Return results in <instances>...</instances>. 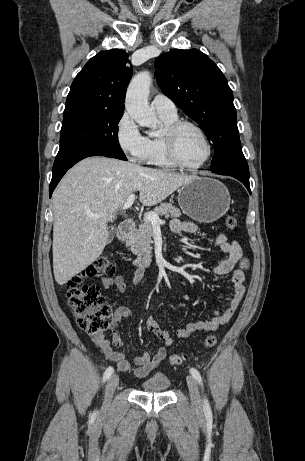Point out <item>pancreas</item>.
<instances>
[{
    "label": "pancreas",
    "mask_w": 305,
    "mask_h": 461,
    "mask_svg": "<svg viewBox=\"0 0 305 461\" xmlns=\"http://www.w3.org/2000/svg\"><path fill=\"white\" fill-rule=\"evenodd\" d=\"M152 212L164 216L165 218H176L181 216L180 210L171 203H161L160 206L154 208ZM152 232V223L147 219L142 220L139 228L133 230L126 240V246L129 247L133 254L140 258L149 257L152 253Z\"/></svg>",
    "instance_id": "cf45deb5"
}]
</instances>
